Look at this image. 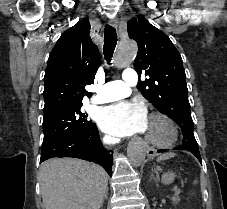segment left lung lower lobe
<instances>
[{
	"label": "left lung lower lobe",
	"mask_w": 227,
	"mask_h": 209,
	"mask_svg": "<svg viewBox=\"0 0 227 209\" xmlns=\"http://www.w3.org/2000/svg\"><path fill=\"white\" fill-rule=\"evenodd\" d=\"M175 149H177V150H184V149H182V147L181 146H178V147H176ZM166 150H158V152H165ZM192 154H194L197 158H198V160L201 162V156H200V153L199 152H196V151H190Z\"/></svg>",
	"instance_id": "obj_1"
}]
</instances>
